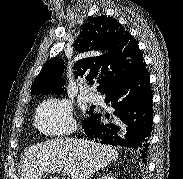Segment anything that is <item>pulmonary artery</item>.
<instances>
[{"label":"pulmonary artery","instance_id":"e3ab8cb5","mask_svg":"<svg viewBox=\"0 0 183 179\" xmlns=\"http://www.w3.org/2000/svg\"><path fill=\"white\" fill-rule=\"evenodd\" d=\"M87 97H88V99H89L92 103H97V104H99V103H101V101H102L101 95H99V94L96 93V92H90V93H88Z\"/></svg>","mask_w":183,"mask_h":179}]
</instances>
